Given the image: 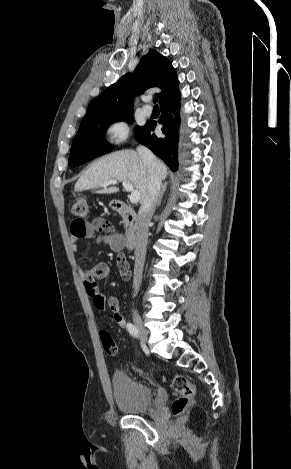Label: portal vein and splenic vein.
Wrapping results in <instances>:
<instances>
[{
    "label": "portal vein and splenic vein",
    "mask_w": 291,
    "mask_h": 469,
    "mask_svg": "<svg viewBox=\"0 0 291 469\" xmlns=\"http://www.w3.org/2000/svg\"><path fill=\"white\" fill-rule=\"evenodd\" d=\"M116 183H117V180H110V181L104 182L101 186L107 187L110 184H116ZM122 185L125 188V190L131 193L129 196L130 202L133 204L138 203L140 199V193L138 192V190L134 189L132 183L128 181H123Z\"/></svg>",
    "instance_id": "18ae733b"
}]
</instances>
